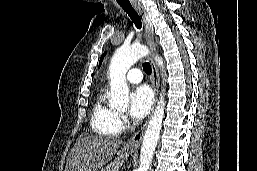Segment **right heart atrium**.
Segmentation results:
<instances>
[{
  "label": "right heart atrium",
  "mask_w": 257,
  "mask_h": 171,
  "mask_svg": "<svg viewBox=\"0 0 257 171\" xmlns=\"http://www.w3.org/2000/svg\"><path fill=\"white\" fill-rule=\"evenodd\" d=\"M120 119H121L122 121H125V116L121 115V116H120Z\"/></svg>",
  "instance_id": "right-heart-atrium-1"
}]
</instances>
